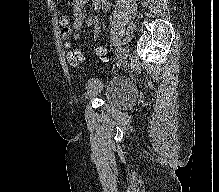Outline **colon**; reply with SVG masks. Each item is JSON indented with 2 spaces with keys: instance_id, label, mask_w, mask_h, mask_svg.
I'll use <instances>...</instances> for the list:
<instances>
[{
  "instance_id": "obj_1",
  "label": "colon",
  "mask_w": 219,
  "mask_h": 192,
  "mask_svg": "<svg viewBox=\"0 0 219 192\" xmlns=\"http://www.w3.org/2000/svg\"><path fill=\"white\" fill-rule=\"evenodd\" d=\"M94 51L101 60L106 61L108 59V51L102 44L95 43ZM67 59L71 64L77 65L85 60V56L83 53L76 50H69L67 53Z\"/></svg>"
}]
</instances>
